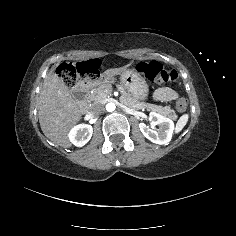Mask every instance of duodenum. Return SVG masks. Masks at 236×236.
<instances>
[{
    "instance_id": "duodenum-1",
    "label": "duodenum",
    "mask_w": 236,
    "mask_h": 236,
    "mask_svg": "<svg viewBox=\"0 0 236 236\" xmlns=\"http://www.w3.org/2000/svg\"><path fill=\"white\" fill-rule=\"evenodd\" d=\"M97 79L92 76L81 79L73 89V96L78 103V108L81 113L88 111V103L86 100L87 91L96 83Z\"/></svg>"
}]
</instances>
